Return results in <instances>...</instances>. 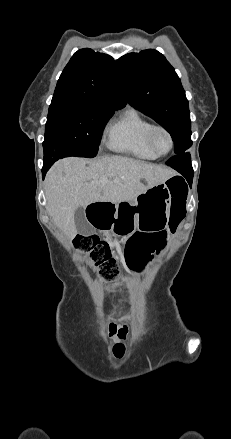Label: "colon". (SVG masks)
Segmentation results:
<instances>
[{
	"mask_svg": "<svg viewBox=\"0 0 231 439\" xmlns=\"http://www.w3.org/2000/svg\"><path fill=\"white\" fill-rule=\"evenodd\" d=\"M169 190L173 196V215L170 221L171 228L175 229L185 216V203L188 195V187L178 179L169 181ZM147 226H143V230H148ZM142 241L140 235H135L130 240L131 245L138 252V246ZM76 247L86 252L90 258L93 267L106 280L114 283L119 278V270L112 258L109 244L100 239L97 235H81L75 240Z\"/></svg>",
	"mask_w": 231,
	"mask_h": 439,
	"instance_id": "1",
	"label": "colon"
}]
</instances>
